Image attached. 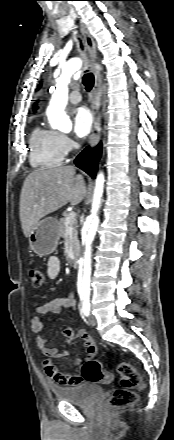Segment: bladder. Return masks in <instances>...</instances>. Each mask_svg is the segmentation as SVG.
Segmentation results:
<instances>
[{
  "label": "bladder",
  "mask_w": 174,
  "mask_h": 440,
  "mask_svg": "<svg viewBox=\"0 0 174 440\" xmlns=\"http://www.w3.org/2000/svg\"><path fill=\"white\" fill-rule=\"evenodd\" d=\"M59 401L73 404H88L102 393V388L92 383H80L68 387L52 386Z\"/></svg>",
  "instance_id": "obj_1"
}]
</instances>
